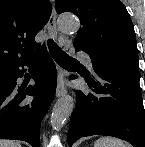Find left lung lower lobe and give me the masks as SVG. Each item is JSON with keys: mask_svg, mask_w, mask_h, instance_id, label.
Here are the masks:
<instances>
[{"mask_svg": "<svg viewBox=\"0 0 145 147\" xmlns=\"http://www.w3.org/2000/svg\"><path fill=\"white\" fill-rule=\"evenodd\" d=\"M91 60L94 77L88 72L80 75L92 92H76L77 104L68 132L69 146L81 137L107 135L126 140L134 147H145V111L138 61L125 58Z\"/></svg>", "mask_w": 145, "mask_h": 147, "instance_id": "left-lung-lower-lobe-1", "label": "left lung lower lobe"}]
</instances>
